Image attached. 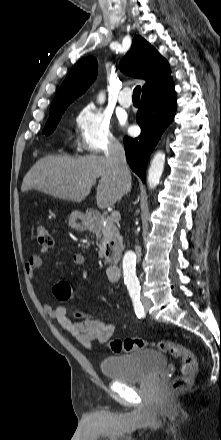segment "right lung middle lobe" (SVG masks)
Returning a JSON list of instances; mask_svg holds the SVG:
<instances>
[{
    "label": "right lung middle lobe",
    "instance_id": "obj_1",
    "mask_svg": "<svg viewBox=\"0 0 221 440\" xmlns=\"http://www.w3.org/2000/svg\"><path fill=\"white\" fill-rule=\"evenodd\" d=\"M67 106L64 107H59V108H55V109H50V117L45 125V128L43 130V133L46 135L51 134L58 122L61 119L62 114L64 113V111L66 110Z\"/></svg>",
    "mask_w": 221,
    "mask_h": 440
}]
</instances>
